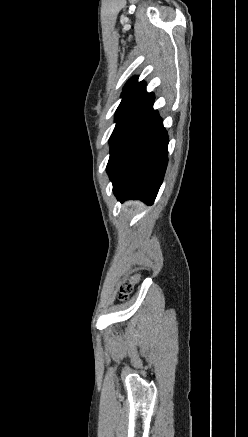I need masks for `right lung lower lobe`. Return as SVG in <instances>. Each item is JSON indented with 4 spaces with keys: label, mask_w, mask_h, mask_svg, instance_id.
<instances>
[{
    "label": "right lung lower lobe",
    "mask_w": 248,
    "mask_h": 437,
    "mask_svg": "<svg viewBox=\"0 0 248 437\" xmlns=\"http://www.w3.org/2000/svg\"><path fill=\"white\" fill-rule=\"evenodd\" d=\"M154 95L144 90L111 141L107 173L121 202L140 199L152 204L168 163V134Z\"/></svg>",
    "instance_id": "1"
}]
</instances>
